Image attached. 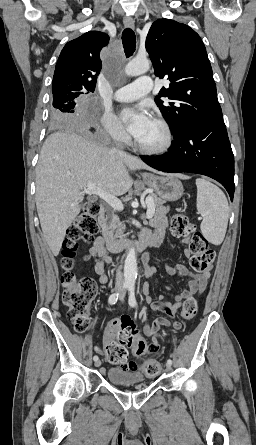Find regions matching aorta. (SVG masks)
<instances>
[{
	"label": "aorta",
	"mask_w": 256,
	"mask_h": 445,
	"mask_svg": "<svg viewBox=\"0 0 256 445\" xmlns=\"http://www.w3.org/2000/svg\"><path fill=\"white\" fill-rule=\"evenodd\" d=\"M150 68L148 59L135 58L129 61L125 67V73L128 76H137L146 73ZM137 278V260L135 249L130 248L127 252L124 263V279L129 285L135 284Z\"/></svg>",
	"instance_id": "762f6f07"
}]
</instances>
